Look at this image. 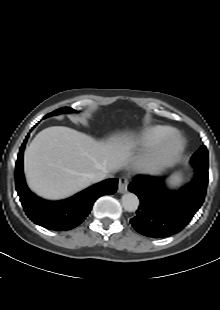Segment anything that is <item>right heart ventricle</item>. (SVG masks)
<instances>
[{"label": "right heart ventricle", "instance_id": "e07e8e85", "mask_svg": "<svg viewBox=\"0 0 220 310\" xmlns=\"http://www.w3.org/2000/svg\"><path fill=\"white\" fill-rule=\"evenodd\" d=\"M174 130L162 125H155L144 128L134 139L136 143L145 148L154 147L166 136L171 134Z\"/></svg>", "mask_w": 220, "mask_h": 310}]
</instances>
